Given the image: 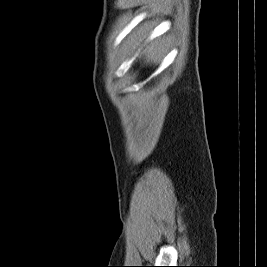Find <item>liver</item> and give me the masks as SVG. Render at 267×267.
I'll list each match as a JSON object with an SVG mask.
<instances>
[{
    "instance_id": "liver-1",
    "label": "liver",
    "mask_w": 267,
    "mask_h": 267,
    "mask_svg": "<svg viewBox=\"0 0 267 267\" xmlns=\"http://www.w3.org/2000/svg\"><path fill=\"white\" fill-rule=\"evenodd\" d=\"M148 35L144 36L143 39L139 41H135L133 48L136 50H140L143 47V41L145 40L144 49L140 52V56H144L147 62H156L163 53V44L159 39L147 42Z\"/></svg>"
}]
</instances>
